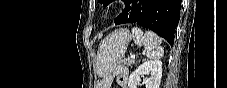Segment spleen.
<instances>
[{
    "label": "spleen",
    "mask_w": 227,
    "mask_h": 88,
    "mask_svg": "<svg viewBox=\"0 0 227 88\" xmlns=\"http://www.w3.org/2000/svg\"><path fill=\"white\" fill-rule=\"evenodd\" d=\"M132 37L138 46L144 45L146 56L149 59H160L164 55V49L161 47L162 39L153 31L145 33L138 27L132 28Z\"/></svg>",
    "instance_id": "spleen-1"
}]
</instances>
